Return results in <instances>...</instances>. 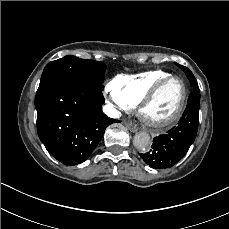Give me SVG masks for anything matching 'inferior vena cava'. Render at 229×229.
Instances as JSON below:
<instances>
[{"instance_id":"inferior-vena-cava-1","label":"inferior vena cava","mask_w":229,"mask_h":229,"mask_svg":"<svg viewBox=\"0 0 229 229\" xmlns=\"http://www.w3.org/2000/svg\"><path fill=\"white\" fill-rule=\"evenodd\" d=\"M103 111H104L106 114H112V111H114V110H112V109L110 108V106H105V107L103 108Z\"/></svg>"}]
</instances>
